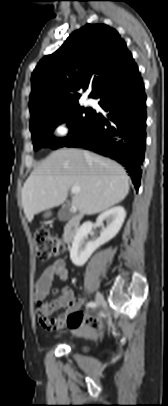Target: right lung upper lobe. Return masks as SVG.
Masks as SVG:
<instances>
[{
  "mask_svg": "<svg viewBox=\"0 0 168 406\" xmlns=\"http://www.w3.org/2000/svg\"><path fill=\"white\" fill-rule=\"evenodd\" d=\"M137 69L125 41L105 24H87L74 31L32 73L30 124L78 103L80 91L89 97L124 80Z\"/></svg>",
  "mask_w": 168,
  "mask_h": 406,
  "instance_id": "cb5924a9",
  "label": "right lung upper lobe"
}]
</instances>
